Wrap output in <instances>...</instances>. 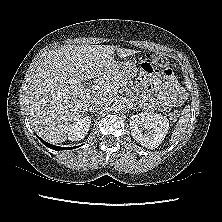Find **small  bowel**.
Masks as SVG:
<instances>
[{"label":"small bowel","instance_id":"1","mask_svg":"<svg viewBox=\"0 0 222 222\" xmlns=\"http://www.w3.org/2000/svg\"><path fill=\"white\" fill-rule=\"evenodd\" d=\"M138 89L144 94L148 108L167 110L184 99V91L170 69L163 75L154 73L142 77Z\"/></svg>","mask_w":222,"mask_h":222}]
</instances>
